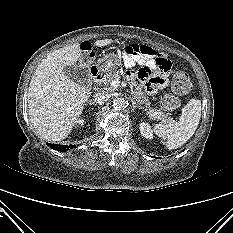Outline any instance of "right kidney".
Listing matches in <instances>:
<instances>
[{"instance_id":"right-kidney-1","label":"right kidney","mask_w":233,"mask_h":233,"mask_svg":"<svg viewBox=\"0 0 233 233\" xmlns=\"http://www.w3.org/2000/svg\"><path fill=\"white\" fill-rule=\"evenodd\" d=\"M77 123H78V125L82 126V125L84 124V120H83V119H79V120L77 121Z\"/></svg>"}]
</instances>
